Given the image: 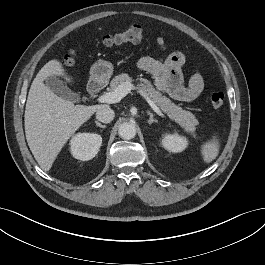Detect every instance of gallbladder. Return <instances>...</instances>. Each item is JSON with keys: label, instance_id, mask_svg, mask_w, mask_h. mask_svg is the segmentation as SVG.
<instances>
[{"label": "gallbladder", "instance_id": "bac80fb5", "mask_svg": "<svg viewBox=\"0 0 265 265\" xmlns=\"http://www.w3.org/2000/svg\"><path fill=\"white\" fill-rule=\"evenodd\" d=\"M46 86H48L54 93L59 95L60 97L76 102L79 100V96L73 92H71L56 76H51L45 80Z\"/></svg>", "mask_w": 265, "mask_h": 265}]
</instances>
